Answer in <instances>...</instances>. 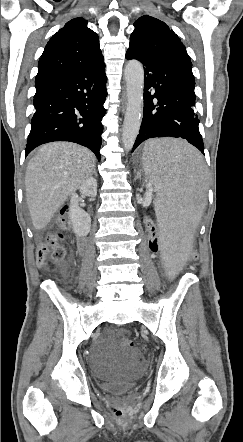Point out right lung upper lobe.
Wrapping results in <instances>:
<instances>
[{
  "mask_svg": "<svg viewBox=\"0 0 243 442\" xmlns=\"http://www.w3.org/2000/svg\"><path fill=\"white\" fill-rule=\"evenodd\" d=\"M103 61L98 35L83 18L70 20L47 43L38 62L37 78L96 66Z\"/></svg>",
  "mask_w": 243,
  "mask_h": 442,
  "instance_id": "cb5924a9",
  "label": "right lung upper lobe"
}]
</instances>
